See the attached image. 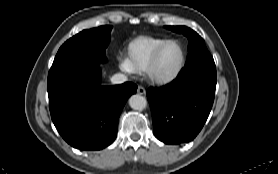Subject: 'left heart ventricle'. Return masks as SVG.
I'll return each mask as SVG.
<instances>
[{
	"mask_svg": "<svg viewBox=\"0 0 278 174\" xmlns=\"http://www.w3.org/2000/svg\"><path fill=\"white\" fill-rule=\"evenodd\" d=\"M181 49L178 44H169L161 52L157 62V72L162 75L171 74L180 64Z\"/></svg>",
	"mask_w": 278,
	"mask_h": 174,
	"instance_id": "b2bd125f",
	"label": "left heart ventricle"
}]
</instances>
